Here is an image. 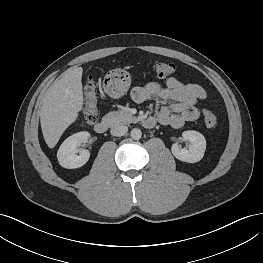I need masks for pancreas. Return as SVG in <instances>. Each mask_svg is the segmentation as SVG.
Wrapping results in <instances>:
<instances>
[{
	"label": "pancreas",
	"instance_id": "cf45deb5",
	"mask_svg": "<svg viewBox=\"0 0 263 263\" xmlns=\"http://www.w3.org/2000/svg\"><path fill=\"white\" fill-rule=\"evenodd\" d=\"M105 119L109 120L111 124H129L136 121V117H134L129 111L125 109H120L118 111L109 112Z\"/></svg>",
	"mask_w": 263,
	"mask_h": 263
}]
</instances>
